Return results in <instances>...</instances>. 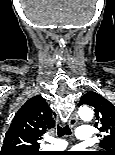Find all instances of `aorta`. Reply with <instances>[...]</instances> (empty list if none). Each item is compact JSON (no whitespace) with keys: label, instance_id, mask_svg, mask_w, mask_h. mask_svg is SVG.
<instances>
[{"label":"aorta","instance_id":"aorta-1","mask_svg":"<svg viewBox=\"0 0 115 155\" xmlns=\"http://www.w3.org/2000/svg\"><path fill=\"white\" fill-rule=\"evenodd\" d=\"M78 115L83 121H90L93 118L94 112L89 106H82L78 110Z\"/></svg>","mask_w":115,"mask_h":155}]
</instances>
